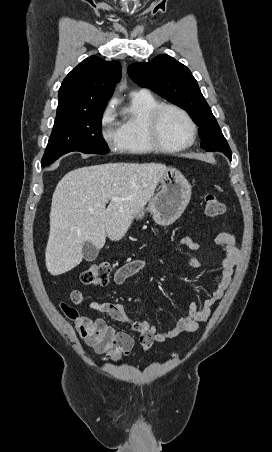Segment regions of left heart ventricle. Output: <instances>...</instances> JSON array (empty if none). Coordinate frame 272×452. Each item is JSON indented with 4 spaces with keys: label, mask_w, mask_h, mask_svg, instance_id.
I'll return each instance as SVG.
<instances>
[{
    "label": "left heart ventricle",
    "mask_w": 272,
    "mask_h": 452,
    "mask_svg": "<svg viewBox=\"0 0 272 452\" xmlns=\"http://www.w3.org/2000/svg\"><path fill=\"white\" fill-rule=\"evenodd\" d=\"M159 130L162 141L169 146H176L186 142L190 134L185 118L171 109L163 112L159 122Z\"/></svg>",
    "instance_id": "obj_1"
}]
</instances>
